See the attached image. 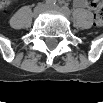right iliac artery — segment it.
<instances>
[{
    "instance_id": "82829eb1",
    "label": "right iliac artery",
    "mask_w": 103,
    "mask_h": 103,
    "mask_svg": "<svg viewBox=\"0 0 103 103\" xmlns=\"http://www.w3.org/2000/svg\"><path fill=\"white\" fill-rule=\"evenodd\" d=\"M56 4V1L55 0H47L46 1V5L47 6H53V5H55Z\"/></svg>"
}]
</instances>
